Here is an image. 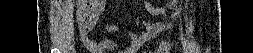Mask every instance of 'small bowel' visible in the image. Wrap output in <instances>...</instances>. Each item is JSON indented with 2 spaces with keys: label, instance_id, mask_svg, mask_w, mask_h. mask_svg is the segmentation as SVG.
<instances>
[{
  "label": "small bowel",
  "instance_id": "small-bowel-1",
  "mask_svg": "<svg viewBox=\"0 0 253 53\" xmlns=\"http://www.w3.org/2000/svg\"><path fill=\"white\" fill-rule=\"evenodd\" d=\"M93 4L96 5V7L94 9L90 22L87 25L80 26L78 29V33L81 42L89 51L93 53H100L103 50L114 48L115 44L111 40H103L101 42H97L88 37V34L92 31L96 21L100 20L102 15L103 3L101 1H93ZM167 16L169 20L164 24L155 25L150 23H143L145 32L141 35H137V33L133 31L130 32L128 36V44L126 47L127 52H137L144 44L148 43L152 39L159 36L163 31L170 28L174 23L175 15L167 14ZM105 28L109 32L118 31V27L115 25L106 24Z\"/></svg>",
  "mask_w": 253,
  "mask_h": 53
}]
</instances>
